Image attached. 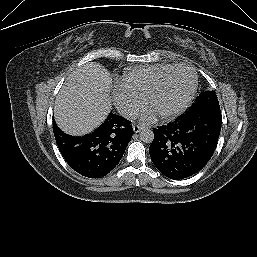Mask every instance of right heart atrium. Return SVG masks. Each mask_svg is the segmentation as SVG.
Returning a JSON list of instances; mask_svg holds the SVG:
<instances>
[{
    "label": "right heart atrium",
    "mask_w": 257,
    "mask_h": 257,
    "mask_svg": "<svg viewBox=\"0 0 257 257\" xmlns=\"http://www.w3.org/2000/svg\"><path fill=\"white\" fill-rule=\"evenodd\" d=\"M114 103L117 109L126 118H133L144 107V98L120 88L115 92Z\"/></svg>",
    "instance_id": "1"
}]
</instances>
